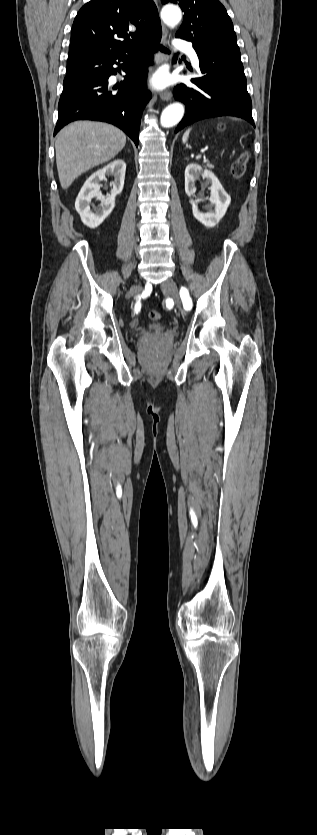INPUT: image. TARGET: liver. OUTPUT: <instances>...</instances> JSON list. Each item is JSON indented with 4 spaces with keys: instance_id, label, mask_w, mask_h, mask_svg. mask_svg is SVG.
Instances as JSON below:
<instances>
[{
    "instance_id": "liver-1",
    "label": "liver",
    "mask_w": 317,
    "mask_h": 835,
    "mask_svg": "<svg viewBox=\"0 0 317 835\" xmlns=\"http://www.w3.org/2000/svg\"><path fill=\"white\" fill-rule=\"evenodd\" d=\"M125 144L124 132L111 124L79 121L63 128L55 143L61 187L67 189L82 173L114 158Z\"/></svg>"
}]
</instances>
